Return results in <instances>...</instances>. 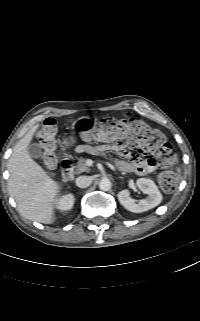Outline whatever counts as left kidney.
<instances>
[{
  "label": "left kidney",
  "instance_id": "obj_1",
  "mask_svg": "<svg viewBox=\"0 0 200 321\" xmlns=\"http://www.w3.org/2000/svg\"><path fill=\"white\" fill-rule=\"evenodd\" d=\"M137 187L148 196L136 202L130 197V192L124 189L118 193L119 202L130 212L141 213L159 205L162 201V195L156 184L147 178H140L136 181Z\"/></svg>",
  "mask_w": 200,
  "mask_h": 321
}]
</instances>
